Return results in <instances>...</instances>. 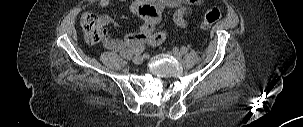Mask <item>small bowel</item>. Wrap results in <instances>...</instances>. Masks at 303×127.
Returning a JSON list of instances; mask_svg holds the SVG:
<instances>
[{
	"mask_svg": "<svg viewBox=\"0 0 303 127\" xmlns=\"http://www.w3.org/2000/svg\"><path fill=\"white\" fill-rule=\"evenodd\" d=\"M112 0H96L94 5L98 8H105L110 5ZM126 2L128 0H117ZM200 0H133L130 9L132 13L141 17L144 22L137 32L130 33L125 39L105 38L103 45L110 50L123 51L127 47L137 46H157L166 39V32L156 30L161 20L162 14L166 9H174V23L184 28L188 24V4H198ZM100 22L106 26L112 23L111 18L102 14Z\"/></svg>",
	"mask_w": 303,
	"mask_h": 127,
	"instance_id": "c3829d8e",
	"label": "small bowel"
}]
</instances>
